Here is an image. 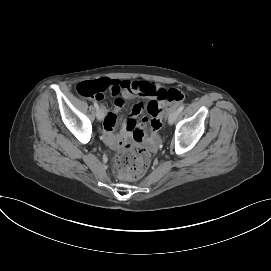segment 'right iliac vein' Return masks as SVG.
Segmentation results:
<instances>
[{
  "label": "right iliac vein",
  "mask_w": 271,
  "mask_h": 271,
  "mask_svg": "<svg viewBox=\"0 0 271 271\" xmlns=\"http://www.w3.org/2000/svg\"><path fill=\"white\" fill-rule=\"evenodd\" d=\"M96 117L99 121L103 120V118H104V108L103 107H100L97 109Z\"/></svg>",
  "instance_id": "63e3f726"
}]
</instances>
